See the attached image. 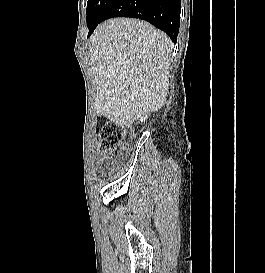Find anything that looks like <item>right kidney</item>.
<instances>
[{
  "label": "right kidney",
  "mask_w": 265,
  "mask_h": 273,
  "mask_svg": "<svg viewBox=\"0 0 265 273\" xmlns=\"http://www.w3.org/2000/svg\"><path fill=\"white\" fill-rule=\"evenodd\" d=\"M147 118V116L141 117L140 120L143 121Z\"/></svg>",
  "instance_id": "ca27d5eb"
}]
</instances>
